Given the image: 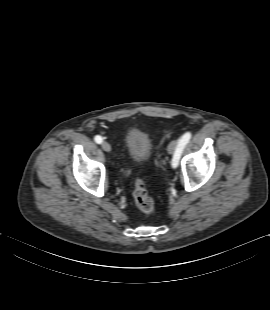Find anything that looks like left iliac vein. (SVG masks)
Segmentation results:
<instances>
[{
  "label": "left iliac vein",
  "instance_id": "1",
  "mask_svg": "<svg viewBox=\"0 0 270 310\" xmlns=\"http://www.w3.org/2000/svg\"><path fill=\"white\" fill-rule=\"evenodd\" d=\"M179 141L178 140H173L169 145H168V153L173 154L178 146Z\"/></svg>",
  "mask_w": 270,
  "mask_h": 310
}]
</instances>
